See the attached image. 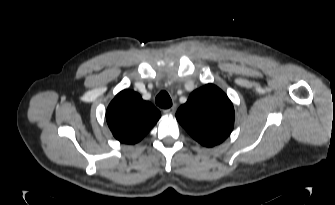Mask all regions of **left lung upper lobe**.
<instances>
[{
    "instance_id": "5c2ea615",
    "label": "left lung upper lobe",
    "mask_w": 335,
    "mask_h": 205,
    "mask_svg": "<svg viewBox=\"0 0 335 205\" xmlns=\"http://www.w3.org/2000/svg\"><path fill=\"white\" fill-rule=\"evenodd\" d=\"M178 122L200 144L223 142L234 125V108L227 95L213 84L193 91L176 113Z\"/></svg>"
}]
</instances>
